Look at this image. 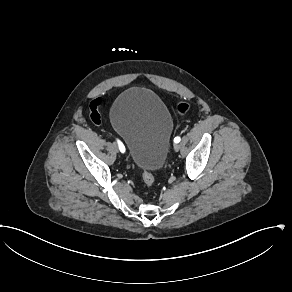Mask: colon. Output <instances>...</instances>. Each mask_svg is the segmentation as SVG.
I'll list each match as a JSON object with an SVG mask.
<instances>
[{"label": "colon", "instance_id": "5ec220e1", "mask_svg": "<svg viewBox=\"0 0 292 292\" xmlns=\"http://www.w3.org/2000/svg\"><path fill=\"white\" fill-rule=\"evenodd\" d=\"M102 100H103V96L101 94H98L95 98V101L97 103H100ZM90 107L92 109H95L97 107V104L95 102H92L90 104ZM176 108H177L178 112L183 113L189 108V105L186 103H178L176 105ZM90 119L93 123L100 122L99 114L94 112V111H91ZM142 179H143L145 186L148 189L153 187V185L155 183V178H154L153 174L147 168H143V170H142Z\"/></svg>", "mask_w": 292, "mask_h": 292}]
</instances>
